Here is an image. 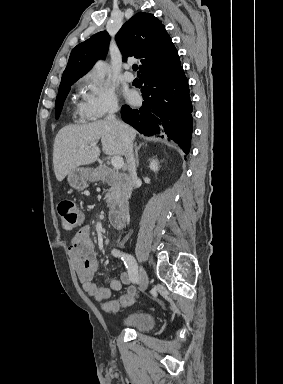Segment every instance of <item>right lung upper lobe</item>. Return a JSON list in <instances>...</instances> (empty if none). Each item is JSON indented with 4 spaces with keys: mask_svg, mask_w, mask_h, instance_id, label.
<instances>
[{
    "mask_svg": "<svg viewBox=\"0 0 283 384\" xmlns=\"http://www.w3.org/2000/svg\"><path fill=\"white\" fill-rule=\"evenodd\" d=\"M123 61L128 57L140 60V80L148 75L164 72L180 63L178 52L165 30L153 14L139 12L127 21L116 35ZM110 36L106 31L92 35L71 52L61 84L76 82L94 63L104 58Z\"/></svg>",
    "mask_w": 283,
    "mask_h": 384,
    "instance_id": "cb5924a9",
    "label": "right lung upper lobe"
}]
</instances>
